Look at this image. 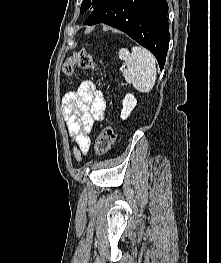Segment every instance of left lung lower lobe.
Returning a JSON list of instances; mask_svg holds the SVG:
<instances>
[{"mask_svg":"<svg viewBox=\"0 0 221 263\" xmlns=\"http://www.w3.org/2000/svg\"><path fill=\"white\" fill-rule=\"evenodd\" d=\"M166 0H104L84 25L105 23L117 28L150 50L162 70L169 45Z\"/></svg>","mask_w":221,"mask_h":263,"instance_id":"1","label":"left lung lower lobe"}]
</instances>
